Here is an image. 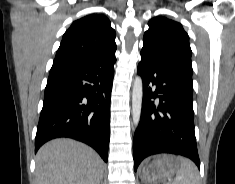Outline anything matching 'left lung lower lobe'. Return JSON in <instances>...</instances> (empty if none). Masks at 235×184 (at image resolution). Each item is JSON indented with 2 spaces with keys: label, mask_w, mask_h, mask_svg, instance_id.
I'll return each instance as SVG.
<instances>
[{
  "label": "left lung lower lobe",
  "mask_w": 235,
  "mask_h": 184,
  "mask_svg": "<svg viewBox=\"0 0 235 184\" xmlns=\"http://www.w3.org/2000/svg\"><path fill=\"white\" fill-rule=\"evenodd\" d=\"M138 74L143 81V102L133 140L134 170L144 158L158 153L188 157L200 169L192 83L176 66L144 47ZM156 98L159 102L151 100Z\"/></svg>",
  "instance_id": "obj_1"
}]
</instances>
